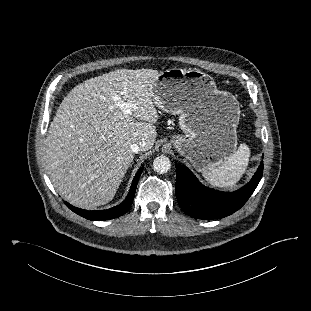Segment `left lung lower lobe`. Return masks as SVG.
<instances>
[{
    "label": "left lung lower lobe",
    "mask_w": 311,
    "mask_h": 311,
    "mask_svg": "<svg viewBox=\"0 0 311 311\" xmlns=\"http://www.w3.org/2000/svg\"><path fill=\"white\" fill-rule=\"evenodd\" d=\"M263 161L249 183L234 192H220L206 188L185 166H176V197L182 210L191 217L220 219L239 210L259 184Z\"/></svg>",
    "instance_id": "1"
}]
</instances>
